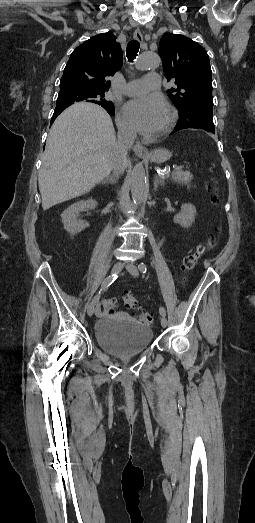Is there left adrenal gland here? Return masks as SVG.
I'll return each instance as SVG.
<instances>
[{
  "label": "left adrenal gland",
  "mask_w": 255,
  "mask_h": 523,
  "mask_svg": "<svg viewBox=\"0 0 255 523\" xmlns=\"http://www.w3.org/2000/svg\"><path fill=\"white\" fill-rule=\"evenodd\" d=\"M164 178H160V176H155L154 178V190H157L158 186H164Z\"/></svg>",
  "instance_id": "a2214340"
}]
</instances>
